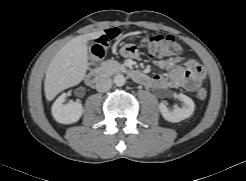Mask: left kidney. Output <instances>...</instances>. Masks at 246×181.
I'll use <instances>...</instances> for the list:
<instances>
[{"label":"left kidney","instance_id":"left-kidney-1","mask_svg":"<svg viewBox=\"0 0 246 181\" xmlns=\"http://www.w3.org/2000/svg\"><path fill=\"white\" fill-rule=\"evenodd\" d=\"M178 97L183 102V106L181 108L175 107L173 109H169L164 102L159 104V110L163 118L172 123H177L189 118L193 114L195 108V104L190 97L182 93H180Z\"/></svg>","mask_w":246,"mask_h":181}]
</instances>
